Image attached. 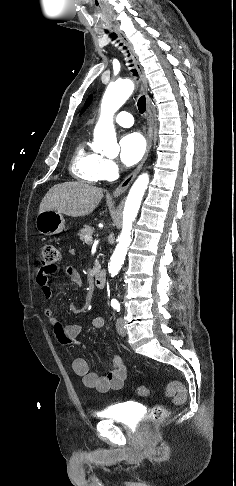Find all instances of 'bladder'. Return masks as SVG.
<instances>
[{
    "label": "bladder",
    "mask_w": 236,
    "mask_h": 486,
    "mask_svg": "<svg viewBox=\"0 0 236 486\" xmlns=\"http://www.w3.org/2000/svg\"><path fill=\"white\" fill-rule=\"evenodd\" d=\"M139 408L134 403H119L98 412L99 417L132 425L135 423Z\"/></svg>",
    "instance_id": "1"
}]
</instances>
